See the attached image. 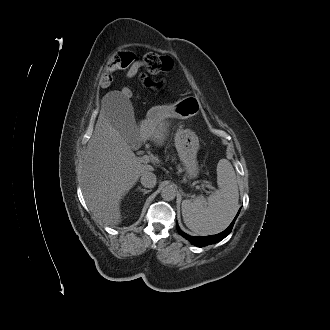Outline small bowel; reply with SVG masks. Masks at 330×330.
<instances>
[{
  "instance_id": "small-bowel-1",
  "label": "small bowel",
  "mask_w": 330,
  "mask_h": 330,
  "mask_svg": "<svg viewBox=\"0 0 330 330\" xmlns=\"http://www.w3.org/2000/svg\"><path fill=\"white\" fill-rule=\"evenodd\" d=\"M144 65H143V62L141 60H136L134 61L126 70L125 72V75L127 78H133L135 77L138 72L143 69ZM103 84L104 85H108L109 82H104L103 81Z\"/></svg>"
}]
</instances>
